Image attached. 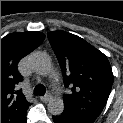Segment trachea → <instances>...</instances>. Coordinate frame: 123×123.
<instances>
[{"label": "trachea", "mask_w": 123, "mask_h": 123, "mask_svg": "<svg viewBox=\"0 0 123 123\" xmlns=\"http://www.w3.org/2000/svg\"><path fill=\"white\" fill-rule=\"evenodd\" d=\"M45 92H46V89H45L44 85H42V84H39V85H37V86L34 88V94H35V95H40V96H42V95L45 94Z\"/></svg>", "instance_id": "3493384b"}]
</instances>
